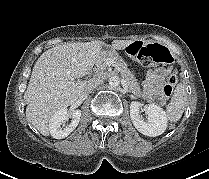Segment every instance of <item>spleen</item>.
<instances>
[{
  "label": "spleen",
  "instance_id": "obj_1",
  "mask_svg": "<svg viewBox=\"0 0 209 179\" xmlns=\"http://www.w3.org/2000/svg\"><path fill=\"white\" fill-rule=\"evenodd\" d=\"M187 93L185 86L180 83L175 88L174 94L171 98L170 103L166 108V117L171 122H177L183 115L186 107Z\"/></svg>",
  "mask_w": 209,
  "mask_h": 179
}]
</instances>
